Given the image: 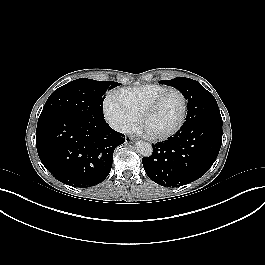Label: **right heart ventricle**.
<instances>
[{"label":"right heart ventricle","mask_w":265,"mask_h":265,"mask_svg":"<svg viewBox=\"0 0 265 265\" xmlns=\"http://www.w3.org/2000/svg\"><path fill=\"white\" fill-rule=\"evenodd\" d=\"M166 88L159 84H144L133 88L121 89L118 92L130 109L139 117L148 103Z\"/></svg>","instance_id":"e07e8e85"}]
</instances>
